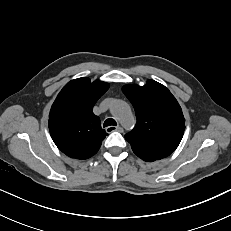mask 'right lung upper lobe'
Segmentation results:
<instances>
[{
  "label": "right lung upper lobe",
  "instance_id": "1",
  "mask_svg": "<svg viewBox=\"0 0 231 231\" xmlns=\"http://www.w3.org/2000/svg\"><path fill=\"white\" fill-rule=\"evenodd\" d=\"M109 84L89 78L68 82L55 99L49 114V130L56 146L67 156L88 159L99 150L107 133L92 112Z\"/></svg>",
  "mask_w": 231,
  "mask_h": 231
}]
</instances>
